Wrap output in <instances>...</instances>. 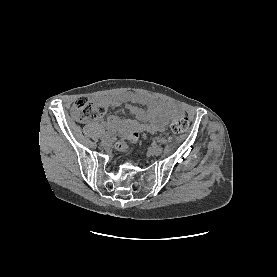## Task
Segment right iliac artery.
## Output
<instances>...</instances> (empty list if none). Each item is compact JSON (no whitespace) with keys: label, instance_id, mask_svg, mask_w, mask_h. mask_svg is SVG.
I'll list each match as a JSON object with an SVG mask.
<instances>
[{"label":"right iliac artery","instance_id":"obj_1","mask_svg":"<svg viewBox=\"0 0 277 277\" xmlns=\"http://www.w3.org/2000/svg\"><path fill=\"white\" fill-rule=\"evenodd\" d=\"M115 131H107L102 135V139H106L109 138L110 136H112L114 134Z\"/></svg>","mask_w":277,"mask_h":277}]
</instances>
